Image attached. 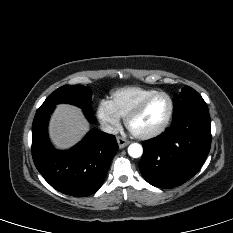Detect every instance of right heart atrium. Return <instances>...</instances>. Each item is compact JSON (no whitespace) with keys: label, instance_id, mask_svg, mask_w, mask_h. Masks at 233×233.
<instances>
[{"label":"right heart atrium","instance_id":"obj_1","mask_svg":"<svg viewBox=\"0 0 233 233\" xmlns=\"http://www.w3.org/2000/svg\"><path fill=\"white\" fill-rule=\"evenodd\" d=\"M97 117L104 128L110 133H115L120 128L121 118L115 112L109 101L102 100L99 103Z\"/></svg>","mask_w":233,"mask_h":233}]
</instances>
